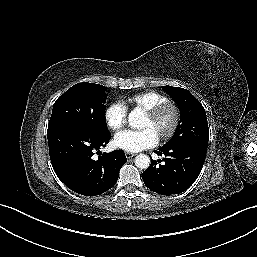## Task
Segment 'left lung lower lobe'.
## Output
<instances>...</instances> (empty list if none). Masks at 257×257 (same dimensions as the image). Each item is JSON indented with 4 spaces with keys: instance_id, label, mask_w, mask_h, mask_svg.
Here are the masks:
<instances>
[{
    "instance_id": "left-lung-lower-lobe-1",
    "label": "left lung lower lobe",
    "mask_w": 257,
    "mask_h": 257,
    "mask_svg": "<svg viewBox=\"0 0 257 257\" xmlns=\"http://www.w3.org/2000/svg\"><path fill=\"white\" fill-rule=\"evenodd\" d=\"M207 148L199 145L161 147L155 153L164 155V164L156 166L155 160L142 173L145 185L162 194H178L187 190L198 178L203 167Z\"/></svg>"
}]
</instances>
